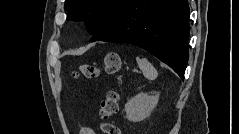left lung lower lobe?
<instances>
[{"label": "left lung lower lobe", "mask_w": 239, "mask_h": 134, "mask_svg": "<svg viewBox=\"0 0 239 134\" xmlns=\"http://www.w3.org/2000/svg\"><path fill=\"white\" fill-rule=\"evenodd\" d=\"M189 31L187 0H126L114 20L90 41L138 46L184 79Z\"/></svg>", "instance_id": "left-lung-lower-lobe-1"}]
</instances>
